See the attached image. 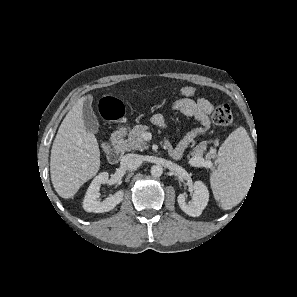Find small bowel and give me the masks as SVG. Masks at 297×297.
Masks as SVG:
<instances>
[{
  "label": "small bowel",
  "instance_id": "1",
  "mask_svg": "<svg viewBox=\"0 0 297 297\" xmlns=\"http://www.w3.org/2000/svg\"><path fill=\"white\" fill-rule=\"evenodd\" d=\"M171 108L180 112L182 115L195 119L199 125L190 130L176 145L170 141H165L164 147L170 157L179 159L184 151L199 137H203L211 127L210 114L213 110L212 103L202 97L199 98H180L174 101ZM151 121L160 128H166L167 122L162 114H155Z\"/></svg>",
  "mask_w": 297,
  "mask_h": 297
}]
</instances>
